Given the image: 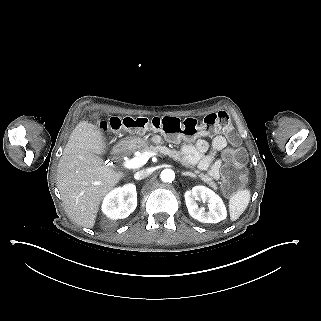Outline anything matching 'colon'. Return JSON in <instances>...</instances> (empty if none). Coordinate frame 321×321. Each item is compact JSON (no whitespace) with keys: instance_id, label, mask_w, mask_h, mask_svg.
Wrapping results in <instances>:
<instances>
[{"instance_id":"obj_1","label":"colon","mask_w":321,"mask_h":321,"mask_svg":"<svg viewBox=\"0 0 321 321\" xmlns=\"http://www.w3.org/2000/svg\"><path fill=\"white\" fill-rule=\"evenodd\" d=\"M100 127L103 131L117 132H144L157 130L169 136L184 135L197 137L201 135L224 134L229 141V146L223 151V158L226 165L223 169V188L228 195H232L247 180L244 168L246 153L240 147L238 135L234 132L232 121L228 114L223 111L207 115L201 123L192 118L181 120L173 116L153 118H117L112 117L102 121Z\"/></svg>"}]
</instances>
